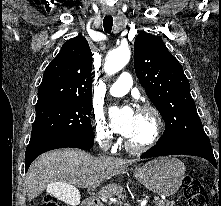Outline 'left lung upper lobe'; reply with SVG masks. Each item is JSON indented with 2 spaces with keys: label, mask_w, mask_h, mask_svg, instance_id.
<instances>
[{
  "label": "left lung upper lobe",
  "mask_w": 221,
  "mask_h": 206,
  "mask_svg": "<svg viewBox=\"0 0 221 206\" xmlns=\"http://www.w3.org/2000/svg\"><path fill=\"white\" fill-rule=\"evenodd\" d=\"M134 68L147 96L165 121L164 134L157 144L209 141L183 68L159 37L145 32L137 35Z\"/></svg>",
  "instance_id": "left-lung-upper-lobe-1"
}]
</instances>
